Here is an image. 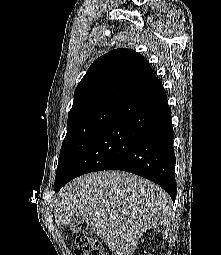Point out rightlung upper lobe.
<instances>
[{"label": "right lung upper lobe", "instance_id": "right-lung-upper-lobe-1", "mask_svg": "<svg viewBox=\"0 0 221 255\" xmlns=\"http://www.w3.org/2000/svg\"><path fill=\"white\" fill-rule=\"evenodd\" d=\"M157 80L139 53L125 48L112 50L89 67L74 92L69 116L98 106H119Z\"/></svg>", "mask_w": 221, "mask_h": 255}]
</instances>
